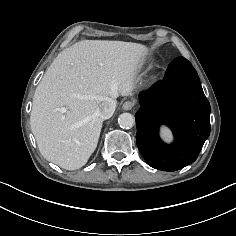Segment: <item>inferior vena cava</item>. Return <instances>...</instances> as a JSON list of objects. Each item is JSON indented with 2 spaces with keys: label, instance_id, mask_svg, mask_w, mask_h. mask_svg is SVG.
I'll return each mask as SVG.
<instances>
[{
  "label": "inferior vena cava",
  "instance_id": "obj_1",
  "mask_svg": "<svg viewBox=\"0 0 236 236\" xmlns=\"http://www.w3.org/2000/svg\"><path fill=\"white\" fill-rule=\"evenodd\" d=\"M116 108V101L113 99H109L108 101L104 102L102 107L100 108L98 115L101 119H109Z\"/></svg>",
  "mask_w": 236,
  "mask_h": 236
}]
</instances>
